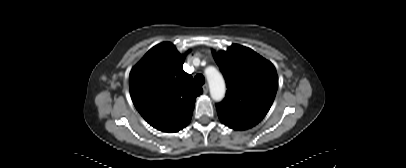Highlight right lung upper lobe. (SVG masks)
<instances>
[{"mask_svg":"<svg viewBox=\"0 0 406 168\" xmlns=\"http://www.w3.org/2000/svg\"><path fill=\"white\" fill-rule=\"evenodd\" d=\"M184 56L173 44L154 46L131 70L132 101L142 117L163 132H177L191 120L203 89L183 71Z\"/></svg>","mask_w":406,"mask_h":168,"instance_id":"obj_1","label":"right lung upper lobe"}]
</instances>
